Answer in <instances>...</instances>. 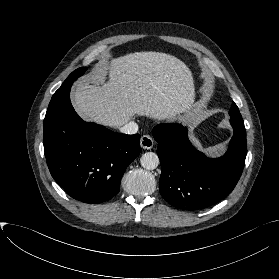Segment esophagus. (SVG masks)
Listing matches in <instances>:
<instances>
[{
    "mask_svg": "<svg viewBox=\"0 0 279 279\" xmlns=\"http://www.w3.org/2000/svg\"><path fill=\"white\" fill-rule=\"evenodd\" d=\"M154 145L153 139L149 135H143L140 139V146L143 149H151Z\"/></svg>",
    "mask_w": 279,
    "mask_h": 279,
    "instance_id": "34e87169",
    "label": "esophagus"
}]
</instances>
